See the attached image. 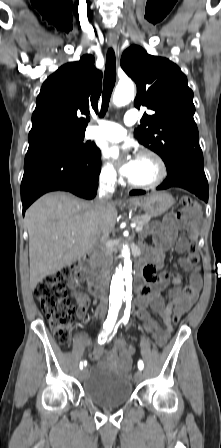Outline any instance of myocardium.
<instances>
[{
    "mask_svg": "<svg viewBox=\"0 0 221 448\" xmlns=\"http://www.w3.org/2000/svg\"><path fill=\"white\" fill-rule=\"evenodd\" d=\"M139 156L140 157H142V156L150 157L151 159L154 160V162L157 166L158 172H159L158 176L150 182H137L130 178L129 184L133 187L142 188V189L155 188V187L161 185L167 178L168 172H169L167 163L164 160V158L159 153H157L156 151L151 150V149H143L139 153Z\"/></svg>",
    "mask_w": 221,
    "mask_h": 448,
    "instance_id": "obj_1",
    "label": "myocardium"
}]
</instances>
